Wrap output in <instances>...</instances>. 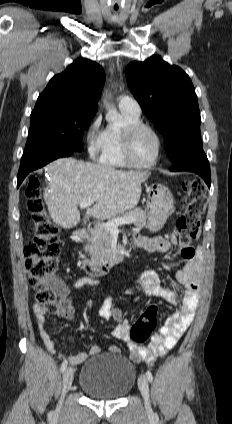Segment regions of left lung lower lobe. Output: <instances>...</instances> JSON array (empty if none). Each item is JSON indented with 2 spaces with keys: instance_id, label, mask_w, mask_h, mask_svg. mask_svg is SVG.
Masks as SVG:
<instances>
[{
  "instance_id": "obj_1",
  "label": "left lung lower lobe",
  "mask_w": 232,
  "mask_h": 424,
  "mask_svg": "<svg viewBox=\"0 0 232 424\" xmlns=\"http://www.w3.org/2000/svg\"><path fill=\"white\" fill-rule=\"evenodd\" d=\"M171 171H190L200 175L208 187L211 184L210 166L202 148V141L191 144L182 153L180 158L173 163Z\"/></svg>"
}]
</instances>
